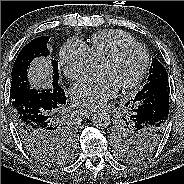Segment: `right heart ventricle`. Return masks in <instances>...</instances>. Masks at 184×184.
Instances as JSON below:
<instances>
[{
	"label": "right heart ventricle",
	"mask_w": 184,
	"mask_h": 184,
	"mask_svg": "<svg viewBox=\"0 0 184 184\" xmlns=\"http://www.w3.org/2000/svg\"><path fill=\"white\" fill-rule=\"evenodd\" d=\"M135 42L129 34L118 30H104L94 34L88 46L94 63H99L105 56L125 43Z\"/></svg>",
	"instance_id": "obj_1"
}]
</instances>
